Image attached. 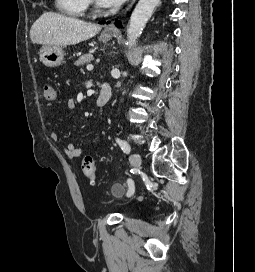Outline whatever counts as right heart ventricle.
Wrapping results in <instances>:
<instances>
[{"mask_svg": "<svg viewBox=\"0 0 255 272\" xmlns=\"http://www.w3.org/2000/svg\"><path fill=\"white\" fill-rule=\"evenodd\" d=\"M87 5V0H55L57 10L72 17H82Z\"/></svg>", "mask_w": 255, "mask_h": 272, "instance_id": "right-heart-ventricle-1", "label": "right heart ventricle"}]
</instances>
